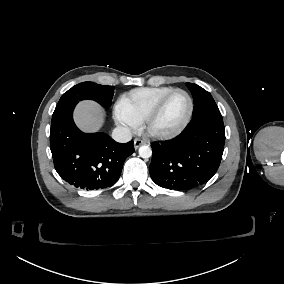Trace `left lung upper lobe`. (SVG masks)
I'll return each instance as SVG.
<instances>
[{
	"mask_svg": "<svg viewBox=\"0 0 284 284\" xmlns=\"http://www.w3.org/2000/svg\"><path fill=\"white\" fill-rule=\"evenodd\" d=\"M194 99L193 117H197L208 111L219 110L211 94L202 87L186 83Z\"/></svg>",
	"mask_w": 284,
	"mask_h": 284,
	"instance_id": "1",
	"label": "left lung upper lobe"
}]
</instances>
